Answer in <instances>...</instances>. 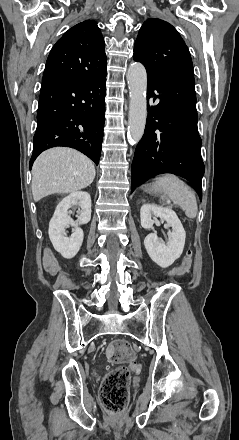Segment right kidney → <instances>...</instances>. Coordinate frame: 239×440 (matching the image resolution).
Segmentation results:
<instances>
[{
    "label": "right kidney",
    "mask_w": 239,
    "mask_h": 440,
    "mask_svg": "<svg viewBox=\"0 0 239 440\" xmlns=\"http://www.w3.org/2000/svg\"><path fill=\"white\" fill-rule=\"evenodd\" d=\"M81 208L78 214L77 222H73L72 218L68 216L70 208ZM91 220V198L88 192H72L67 198H63L59 202L53 218L49 222V238L53 242L57 253H65L64 258L69 260L72 256L78 254L84 234L82 228H78L80 224H88ZM66 226H74L75 230L70 238L64 236Z\"/></svg>",
    "instance_id": "ca27d5eb"
}]
</instances>
